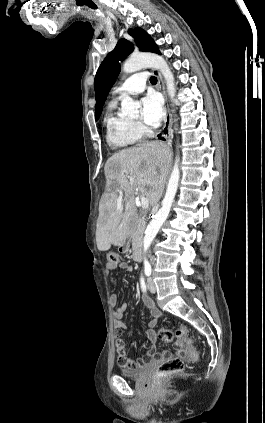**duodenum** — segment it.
Returning <instances> with one entry per match:
<instances>
[{"label": "duodenum", "mask_w": 265, "mask_h": 423, "mask_svg": "<svg viewBox=\"0 0 265 423\" xmlns=\"http://www.w3.org/2000/svg\"><path fill=\"white\" fill-rule=\"evenodd\" d=\"M132 257L135 261L141 260V240L139 238L134 241Z\"/></svg>", "instance_id": "410a0bca"}]
</instances>
